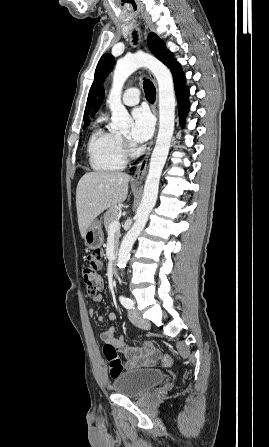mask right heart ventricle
Returning a JSON list of instances; mask_svg holds the SVG:
<instances>
[{
    "instance_id": "1",
    "label": "right heart ventricle",
    "mask_w": 269,
    "mask_h": 447,
    "mask_svg": "<svg viewBox=\"0 0 269 447\" xmlns=\"http://www.w3.org/2000/svg\"><path fill=\"white\" fill-rule=\"evenodd\" d=\"M105 117H100L88 146L89 162L94 170L120 169L125 165L126 155L121 136L105 125Z\"/></svg>"
}]
</instances>
